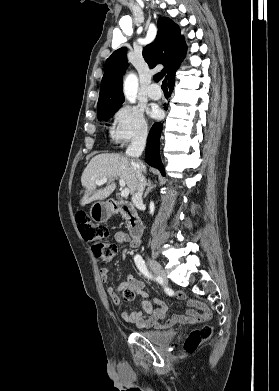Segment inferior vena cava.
Returning a JSON list of instances; mask_svg holds the SVG:
<instances>
[{"label":"inferior vena cava","instance_id":"602c4592","mask_svg":"<svg viewBox=\"0 0 279 391\" xmlns=\"http://www.w3.org/2000/svg\"><path fill=\"white\" fill-rule=\"evenodd\" d=\"M147 129L141 130L132 140L131 144L126 150V155L134 158H138L146 145V140H147ZM134 167V164H133ZM136 178L138 180V186H137V192L133 195L132 201L135 205H138L142 203V194L144 187L146 185L145 178L140 172V170L136 169L134 167Z\"/></svg>","mask_w":279,"mask_h":391}]
</instances>
